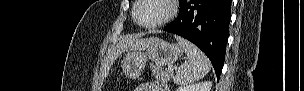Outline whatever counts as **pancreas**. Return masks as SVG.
Segmentation results:
<instances>
[{
	"label": "pancreas",
	"instance_id": "1",
	"mask_svg": "<svg viewBox=\"0 0 304 91\" xmlns=\"http://www.w3.org/2000/svg\"><path fill=\"white\" fill-rule=\"evenodd\" d=\"M152 74L157 80L162 82H168L173 72L167 69L162 70L161 68L154 66L152 67Z\"/></svg>",
	"mask_w": 304,
	"mask_h": 91
}]
</instances>
